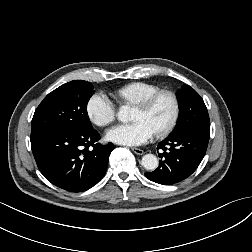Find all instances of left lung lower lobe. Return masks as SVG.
I'll return each mask as SVG.
<instances>
[{"mask_svg": "<svg viewBox=\"0 0 252 252\" xmlns=\"http://www.w3.org/2000/svg\"><path fill=\"white\" fill-rule=\"evenodd\" d=\"M209 137L210 129L205 128H193L168 136L157 146V149L164 151L159 154L163 158L159 161V167L153 172L145 173V176L163 185H172L186 179L202 161Z\"/></svg>", "mask_w": 252, "mask_h": 252, "instance_id": "obj_1", "label": "left lung lower lobe"}]
</instances>
